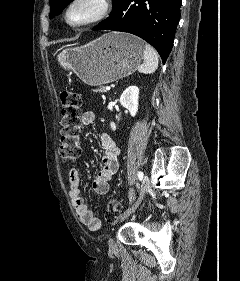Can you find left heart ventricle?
<instances>
[{"label":"left heart ventricle","mask_w":240,"mask_h":281,"mask_svg":"<svg viewBox=\"0 0 240 281\" xmlns=\"http://www.w3.org/2000/svg\"><path fill=\"white\" fill-rule=\"evenodd\" d=\"M95 9V4L93 2H83L78 4L70 14V20L73 22H78L86 19Z\"/></svg>","instance_id":"b2bd125f"}]
</instances>
